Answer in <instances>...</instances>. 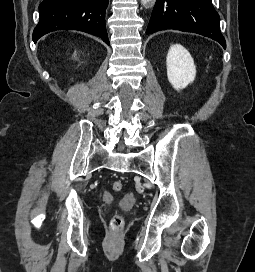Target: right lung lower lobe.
Returning a JSON list of instances; mask_svg holds the SVG:
<instances>
[{"label":"right lung lower lobe","mask_w":255,"mask_h":272,"mask_svg":"<svg viewBox=\"0 0 255 272\" xmlns=\"http://www.w3.org/2000/svg\"><path fill=\"white\" fill-rule=\"evenodd\" d=\"M109 0H43L33 41L56 30H79L99 36L109 45L105 12Z\"/></svg>","instance_id":"right-lung-lower-lobe-1"}]
</instances>
